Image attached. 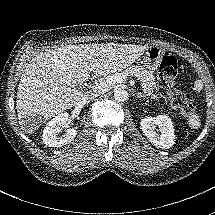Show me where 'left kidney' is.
Here are the masks:
<instances>
[{"instance_id":"5707ae66","label":"left kidney","mask_w":215,"mask_h":215,"mask_svg":"<svg viewBox=\"0 0 215 215\" xmlns=\"http://www.w3.org/2000/svg\"><path fill=\"white\" fill-rule=\"evenodd\" d=\"M140 124L144 135L154 147L165 149L174 144L173 127L167 116L147 117Z\"/></svg>"}]
</instances>
